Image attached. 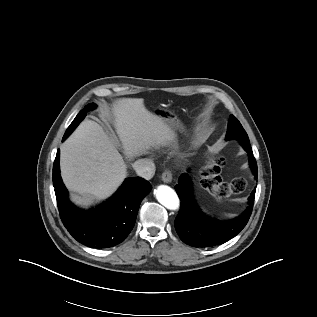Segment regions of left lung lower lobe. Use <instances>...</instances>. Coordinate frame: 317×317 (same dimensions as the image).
<instances>
[{"label":"left lung lower lobe","mask_w":317,"mask_h":317,"mask_svg":"<svg viewBox=\"0 0 317 317\" xmlns=\"http://www.w3.org/2000/svg\"><path fill=\"white\" fill-rule=\"evenodd\" d=\"M243 148L249 154V165L258 178L257 163L250 145ZM175 190L181 200L180 212L175 220L176 231L181 240L193 247H212L220 245L235 237L246 226L254 205L256 188L248 198L246 210L231 221H219L202 213L196 205L188 174L180 176Z\"/></svg>","instance_id":"1"}]
</instances>
